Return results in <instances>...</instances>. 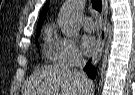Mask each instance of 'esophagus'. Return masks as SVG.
<instances>
[{"mask_svg": "<svg viewBox=\"0 0 135 95\" xmlns=\"http://www.w3.org/2000/svg\"><path fill=\"white\" fill-rule=\"evenodd\" d=\"M107 14H108V1L102 0V13L100 16V30L98 38V49L93 56L92 64L95 65L101 59L107 38Z\"/></svg>", "mask_w": 135, "mask_h": 95, "instance_id": "esophagus-1", "label": "esophagus"}]
</instances>
